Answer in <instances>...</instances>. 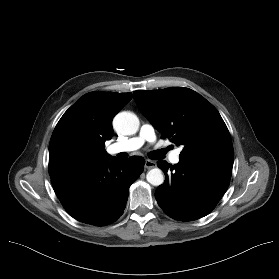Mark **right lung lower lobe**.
Wrapping results in <instances>:
<instances>
[{"mask_svg":"<svg viewBox=\"0 0 279 279\" xmlns=\"http://www.w3.org/2000/svg\"><path fill=\"white\" fill-rule=\"evenodd\" d=\"M145 160L113 157L101 163L51 178L66 211L76 220L95 226L116 221L123 213L130 185L143 171Z\"/></svg>","mask_w":279,"mask_h":279,"instance_id":"98d812e1","label":"right lung lower lobe"}]
</instances>
